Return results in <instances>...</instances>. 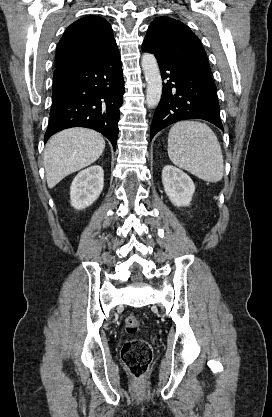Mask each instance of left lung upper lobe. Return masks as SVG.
I'll return each instance as SVG.
<instances>
[{
	"mask_svg": "<svg viewBox=\"0 0 272 417\" xmlns=\"http://www.w3.org/2000/svg\"><path fill=\"white\" fill-rule=\"evenodd\" d=\"M142 49L157 59L184 62L211 73L206 52L198 37L182 22L159 17L149 26Z\"/></svg>",
	"mask_w": 272,
	"mask_h": 417,
	"instance_id": "1",
	"label": "left lung upper lobe"
}]
</instances>
